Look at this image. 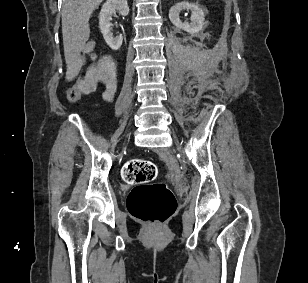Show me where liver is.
<instances>
[{"mask_svg": "<svg viewBox=\"0 0 308 283\" xmlns=\"http://www.w3.org/2000/svg\"><path fill=\"white\" fill-rule=\"evenodd\" d=\"M103 0H63L62 34L64 55L69 66L79 56L90 36L89 19ZM69 75V73H68Z\"/></svg>", "mask_w": 308, "mask_h": 283, "instance_id": "liver-1", "label": "liver"}]
</instances>
